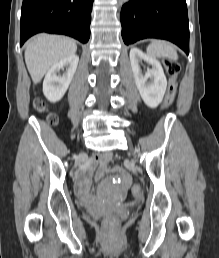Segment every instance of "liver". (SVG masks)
I'll list each match as a JSON object with an SVG mask.
<instances>
[{"label":"liver","instance_id":"1","mask_svg":"<svg viewBox=\"0 0 219 258\" xmlns=\"http://www.w3.org/2000/svg\"><path fill=\"white\" fill-rule=\"evenodd\" d=\"M77 50L74 40L58 35L39 34L32 38L25 50V62L34 84L62 59Z\"/></svg>","mask_w":219,"mask_h":258}]
</instances>
